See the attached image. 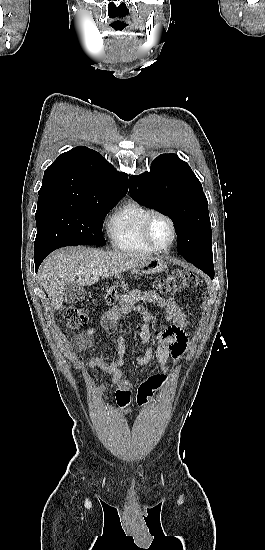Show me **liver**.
I'll return each instance as SVG.
<instances>
[{
  "label": "liver",
  "mask_w": 265,
  "mask_h": 550,
  "mask_svg": "<svg viewBox=\"0 0 265 550\" xmlns=\"http://www.w3.org/2000/svg\"><path fill=\"white\" fill-rule=\"evenodd\" d=\"M148 255L123 252H106L82 246L55 251L43 262L40 281L55 310L64 301V289L68 284L89 286L103 278L112 277L133 269Z\"/></svg>",
  "instance_id": "liver-1"
}]
</instances>
